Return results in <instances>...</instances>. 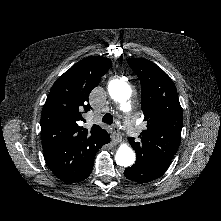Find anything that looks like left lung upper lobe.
<instances>
[{
    "mask_svg": "<svg viewBox=\"0 0 221 221\" xmlns=\"http://www.w3.org/2000/svg\"><path fill=\"white\" fill-rule=\"evenodd\" d=\"M128 64L140 80L141 109L147 121L138 141L129 138L137 155L135 164L169 165L178 150L183 124L176 87L161 68L147 59H129Z\"/></svg>",
    "mask_w": 221,
    "mask_h": 221,
    "instance_id": "left-lung-upper-lobe-1",
    "label": "left lung upper lobe"
}]
</instances>
